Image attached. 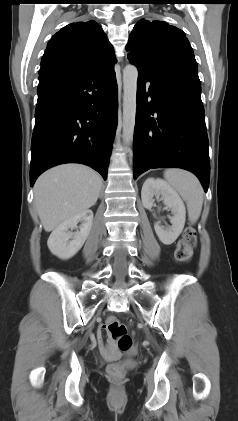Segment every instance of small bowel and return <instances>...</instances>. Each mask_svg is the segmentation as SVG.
<instances>
[{"label":"small bowel","mask_w":238,"mask_h":421,"mask_svg":"<svg viewBox=\"0 0 238 421\" xmlns=\"http://www.w3.org/2000/svg\"><path fill=\"white\" fill-rule=\"evenodd\" d=\"M98 339H99V341L102 344V333H101V330H99V332H98ZM102 351L105 354H109V353L112 352V347L110 345H102Z\"/></svg>","instance_id":"small-bowel-1"}]
</instances>
